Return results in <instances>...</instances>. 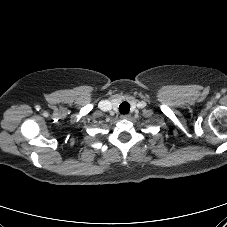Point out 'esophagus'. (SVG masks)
<instances>
[{
	"mask_svg": "<svg viewBox=\"0 0 227 227\" xmlns=\"http://www.w3.org/2000/svg\"><path fill=\"white\" fill-rule=\"evenodd\" d=\"M121 118H122V119H129V118H130V115H128V114L121 115Z\"/></svg>",
	"mask_w": 227,
	"mask_h": 227,
	"instance_id": "1",
	"label": "esophagus"
}]
</instances>
